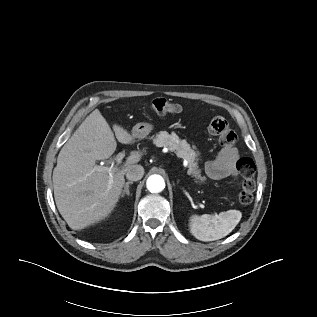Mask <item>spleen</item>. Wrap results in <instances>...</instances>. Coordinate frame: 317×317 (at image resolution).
Instances as JSON below:
<instances>
[{"mask_svg":"<svg viewBox=\"0 0 317 317\" xmlns=\"http://www.w3.org/2000/svg\"><path fill=\"white\" fill-rule=\"evenodd\" d=\"M242 214L238 210L220 212L214 216L203 214L190 218V232L201 241H214L227 236L238 225Z\"/></svg>","mask_w":317,"mask_h":317,"instance_id":"obj_1","label":"spleen"}]
</instances>
